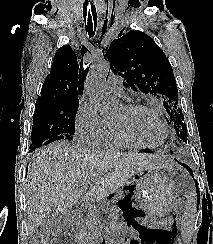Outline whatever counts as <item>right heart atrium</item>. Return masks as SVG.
<instances>
[{
  "instance_id": "obj_1",
  "label": "right heart atrium",
  "mask_w": 213,
  "mask_h": 244,
  "mask_svg": "<svg viewBox=\"0 0 213 244\" xmlns=\"http://www.w3.org/2000/svg\"><path fill=\"white\" fill-rule=\"evenodd\" d=\"M109 123L97 112L90 102L79 104L75 117V137L90 145H100Z\"/></svg>"
}]
</instances>
